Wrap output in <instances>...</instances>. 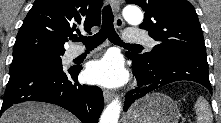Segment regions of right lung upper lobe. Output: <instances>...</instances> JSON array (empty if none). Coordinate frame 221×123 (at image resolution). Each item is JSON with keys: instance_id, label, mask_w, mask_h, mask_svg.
I'll return each instance as SVG.
<instances>
[{"instance_id": "right-lung-upper-lobe-1", "label": "right lung upper lobe", "mask_w": 221, "mask_h": 123, "mask_svg": "<svg viewBox=\"0 0 221 123\" xmlns=\"http://www.w3.org/2000/svg\"><path fill=\"white\" fill-rule=\"evenodd\" d=\"M102 0H36L17 34L13 54L65 52L64 43L83 27L100 24Z\"/></svg>"}]
</instances>
